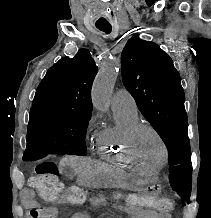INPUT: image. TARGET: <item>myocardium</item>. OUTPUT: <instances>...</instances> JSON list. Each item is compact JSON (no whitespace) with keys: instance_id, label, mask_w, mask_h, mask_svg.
<instances>
[{"instance_id":"obj_1","label":"myocardium","mask_w":211,"mask_h":218,"mask_svg":"<svg viewBox=\"0 0 211 218\" xmlns=\"http://www.w3.org/2000/svg\"><path fill=\"white\" fill-rule=\"evenodd\" d=\"M142 130H148V131L152 132L155 135V137L158 139V141L161 145V148H162V155H163L161 165L165 164V162L167 160L168 152H167V147H166V144L164 142L162 135L152 125L147 124V123H143L140 121L138 123L134 124L129 129V131L127 133V148H128L129 153H130L131 159L142 164V162L140 161V159L136 155V140H137L138 134Z\"/></svg>"}]
</instances>
